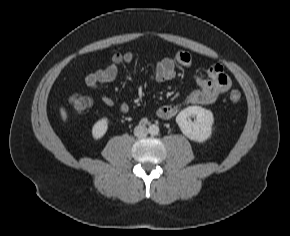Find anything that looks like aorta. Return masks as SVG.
Returning a JSON list of instances; mask_svg holds the SVG:
<instances>
[{"label":"aorta","instance_id":"aorta-1","mask_svg":"<svg viewBox=\"0 0 290 236\" xmlns=\"http://www.w3.org/2000/svg\"><path fill=\"white\" fill-rule=\"evenodd\" d=\"M151 135H157L159 133V127L157 125H151L148 129Z\"/></svg>","mask_w":290,"mask_h":236}]
</instances>
